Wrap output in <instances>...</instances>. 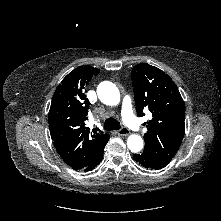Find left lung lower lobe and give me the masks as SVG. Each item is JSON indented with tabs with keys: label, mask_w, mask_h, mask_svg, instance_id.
<instances>
[{
	"label": "left lung lower lobe",
	"mask_w": 221,
	"mask_h": 221,
	"mask_svg": "<svg viewBox=\"0 0 221 221\" xmlns=\"http://www.w3.org/2000/svg\"><path fill=\"white\" fill-rule=\"evenodd\" d=\"M133 159L137 161L139 164H141L142 166H144L145 168H149V169L158 170L166 166L165 164L155 161L154 159H152L150 156H148L145 153L134 154Z\"/></svg>",
	"instance_id": "left-lung-lower-lobe-1"
}]
</instances>
